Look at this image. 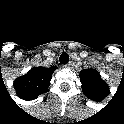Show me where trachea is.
Wrapping results in <instances>:
<instances>
[{
    "label": "trachea",
    "mask_w": 124,
    "mask_h": 124,
    "mask_svg": "<svg viewBox=\"0 0 124 124\" xmlns=\"http://www.w3.org/2000/svg\"><path fill=\"white\" fill-rule=\"evenodd\" d=\"M60 63L61 64H67L69 62V55L66 53V52H63L61 55H60Z\"/></svg>",
    "instance_id": "trachea-1"
}]
</instances>
